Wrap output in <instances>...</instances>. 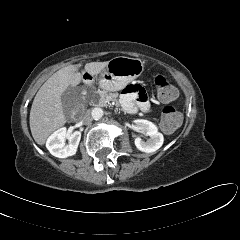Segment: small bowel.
Here are the masks:
<instances>
[{"label":"small bowel","mask_w":240,"mask_h":240,"mask_svg":"<svg viewBox=\"0 0 240 240\" xmlns=\"http://www.w3.org/2000/svg\"><path fill=\"white\" fill-rule=\"evenodd\" d=\"M123 109L128 113H135L138 110L150 111V103L147 94L139 84L127 85L120 97Z\"/></svg>","instance_id":"obj_1"}]
</instances>
